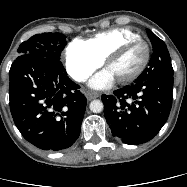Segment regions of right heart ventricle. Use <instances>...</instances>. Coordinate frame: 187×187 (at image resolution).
Here are the masks:
<instances>
[{
  "instance_id": "1",
  "label": "right heart ventricle",
  "mask_w": 187,
  "mask_h": 187,
  "mask_svg": "<svg viewBox=\"0 0 187 187\" xmlns=\"http://www.w3.org/2000/svg\"><path fill=\"white\" fill-rule=\"evenodd\" d=\"M140 36L126 28H115L95 34L85 42L102 59L115 47L124 41L139 38Z\"/></svg>"
}]
</instances>
